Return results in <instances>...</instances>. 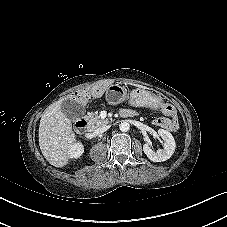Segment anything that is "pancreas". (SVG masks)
Segmentation results:
<instances>
[{
	"instance_id": "1",
	"label": "pancreas",
	"mask_w": 227,
	"mask_h": 227,
	"mask_svg": "<svg viewBox=\"0 0 227 227\" xmlns=\"http://www.w3.org/2000/svg\"><path fill=\"white\" fill-rule=\"evenodd\" d=\"M86 118L90 122L92 128L105 126L109 122L107 119H101L97 113H90Z\"/></svg>"
}]
</instances>
